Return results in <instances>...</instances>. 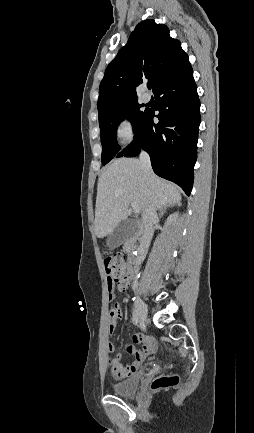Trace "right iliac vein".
Listing matches in <instances>:
<instances>
[{
  "mask_svg": "<svg viewBox=\"0 0 254 433\" xmlns=\"http://www.w3.org/2000/svg\"><path fill=\"white\" fill-rule=\"evenodd\" d=\"M136 313L142 322L147 321V309L141 298L137 297L135 301Z\"/></svg>",
  "mask_w": 254,
  "mask_h": 433,
  "instance_id": "obj_1",
  "label": "right iliac vein"
}]
</instances>
